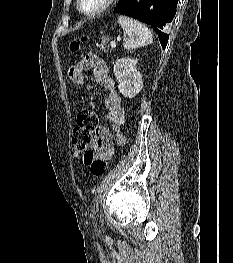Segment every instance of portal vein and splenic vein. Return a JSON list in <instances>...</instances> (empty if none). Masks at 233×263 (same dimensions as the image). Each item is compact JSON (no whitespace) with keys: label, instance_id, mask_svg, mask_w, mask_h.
Listing matches in <instances>:
<instances>
[{"label":"portal vein and splenic vein","instance_id":"1","mask_svg":"<svg viewBox=\"0 0 233 263\" xmlns=\"http://www.w3.org/2000/svg\"><path fill=\"white\" fill-rule=\"evenodd\" d=\"M116 47V42L115 41H111V48Z\"/></svg>","mask_w":233,"mask_h":263}]
</instances>
